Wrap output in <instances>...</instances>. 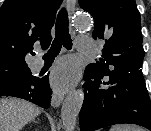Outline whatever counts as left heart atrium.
<instances>
[{
	"label": "left heart atrium",
	"mask_w": 151,
	"mask_h": 131,
	"mask_svg": "<svg viewBox=\"0 0 151 131\" xmlns=\"http://www.w3.org/2000/svg\"><path fill=\"white\" fill-rule=\"evenodd\" d=\"M76 80L75 66L69 61L60 62L52 71L51 82L57 92L71 87Z\"/></svg>",
	"instance_id": "obj_1"
}]
</instances>
